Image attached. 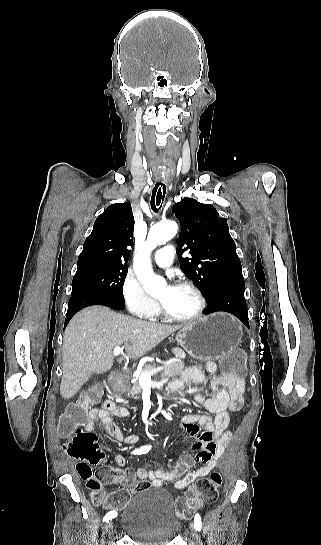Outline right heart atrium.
<instances>
[{"label": "right heart atrium", "instance_id": "right-heart-atrium-1", "mask_svg": "<svg viewBox=\"0 0 321 545\" xmlns=\"http://www.w3.org/2000/svg\"><path fill=\"white\" fill-rule=\"evenodd\" d=\"M121 296L128 312L142 320L154 318L159 310L158 305L146 297L142 279L132 273L122 282Z\"/></svg>", "mask_w": 321, "mask_h": 545}]
</instances>
